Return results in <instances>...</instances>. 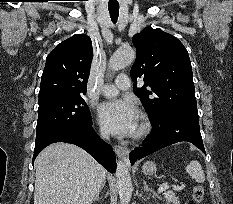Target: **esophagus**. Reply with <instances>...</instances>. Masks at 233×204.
Listing matches in <instances>:
<instances>
[{"instance_id":"esophagus-1","label":"esophagus","mask_w":233,"mask_h":204,"mask_svg":"<svg viewBox=\"0 0 233 204\" xmlns=\"http://www.w3.org/2000/svg\"><path fill=\"white\" fill-rule=\"evenodd\" d=\"M114 150H115V153L118 155V156H128L129 154V149L125 146H115L114 147Z\"/></svg>"}]
</instances>
